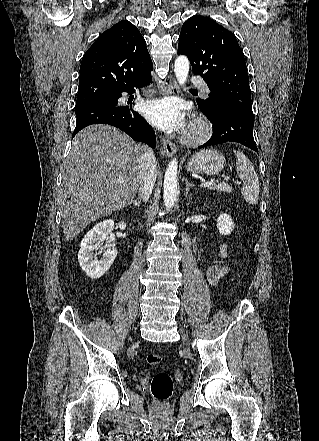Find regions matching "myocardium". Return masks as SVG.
Wrapping results in <instances>:
<instances>
[{"label": "myocardium", "mask_w": 319, "mask_h": 441, "mask_svg": "<svg viewBox=\"0 0 319 441\" xmlns=\"http://www.w3.org/2000/svg\"><path fill=\"white\" fill-rule=\"evenodd\" d=\"M211 124L205 119L195 120L185 135V142L190 145H196L207 140L211 135Z\"/></svg>", "instance_id": "myocardium-1"}]
</instances>
